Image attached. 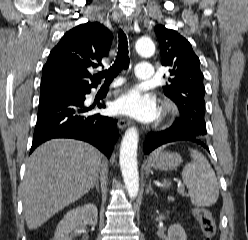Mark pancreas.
<instances>
[{"label":"pancreas","instance_id":"obj_1","mask_svg":"<svg viewBox=\"0 0 248 240\" xmlns=\"http://www.w3.org/2000/svg\"><path fill=\"white\" fill-rule=\"evenodd\" d=\"M168 199H169V200H173V198H172V197H169Z\"/></svg>","mask_w":248,"mask_h":240}]
</instances>
